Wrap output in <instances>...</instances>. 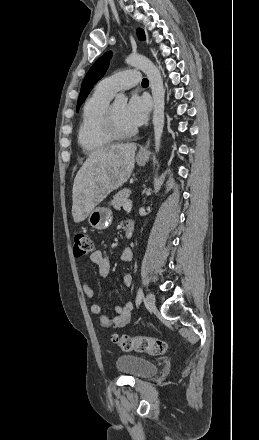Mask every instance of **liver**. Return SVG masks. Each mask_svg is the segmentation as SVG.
<instances>
[{
  "label": "liver",
  "mask_w": 259,
  "mask_h": 440,
  "mask_svg": "<svg viewBox=\"0 0 259 440\" xmlns=\"http://www.w3.org/2000/svg\"><path fill=\"white\" fill-rule=\"evenodd\" d=\"M135 143L117 144L93 151L74 179L72 216L75 223L130 177L135 164Z\"/></svg>",
  "instance_id": "6515ba94"
}]
</instances>
